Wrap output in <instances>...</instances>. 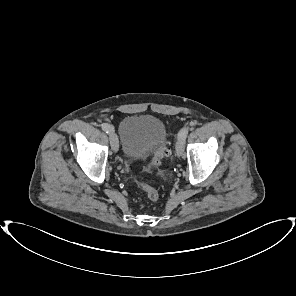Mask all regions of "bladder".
Instances as JSON below:
<instances>
[{"mask_svg":"<svg viewBox=\"0 0 296 296\" xmlns=\"http://www.w3.org/2000/svg\"><path fill=\"white\" fill-rule=\"evenodd\" d=\"M124 156L130 160L145 157L153 148L162 145L166 136L163 122L151 115H130L119 126Z\"/></svg>","mask_w":296,"mask_h":296,"instance_id":"1","label":"bladder"}]
</instances>
